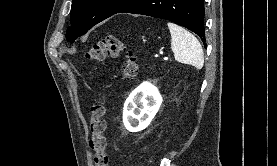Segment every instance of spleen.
I'll return each mask as SVG.
<instances>
[{
    "instance_id": "spleen-1",
    "label": "spleen",
    "mask_w": 277,
    "mask_h": 166,
    "mask_svg": "<svg viewBox=\"0 0 277 166\" xmlns=\"http://www.w3.org/2000/svg\"><path fill=\"white\" fill-rule=\"evenodd\" d=\"M171 33V49L175 60L201 69L204 65V54L198 39L183 27L168 22Z\"/></svg>"
}]
</instances>
